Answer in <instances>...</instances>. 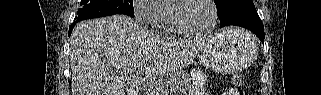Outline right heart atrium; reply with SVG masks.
I'll use <instances>...</instances> for the list:
<instances>
[{
    "label": "right heart atrium",
    "mask_w": 321,
    "mask_h": 95,
    "mask_svg": "<svg viewBox=\"0 0 321 95\" xmlns=\"http://www.w3.org/2000/svg\"><path fill=\"white\" fill-rule=\"evenodd\" d=\"M132 10L137 22L151 25L159 14V1L136 0L133 2Z\"/></svg>",
    "instance_id": "obj_1"
}]
</instances>
